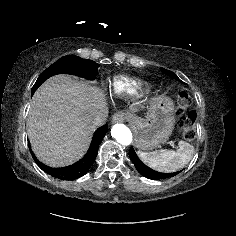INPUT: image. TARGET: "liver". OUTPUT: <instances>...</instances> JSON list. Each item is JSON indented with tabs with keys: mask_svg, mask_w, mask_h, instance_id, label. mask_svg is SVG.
I'll return each mask as SVG.
<instances>
[{
	"mask_svg": "<svg viewBox=\"0 0 236 236\" xmlns=\"http://www.w3.org/2000/svg\"><path fill=\"white\" fill-rule=\"evenodd\" d=\"M106 105L103 92L87 82L67 75L49 78L33 95L27 117L35 155L51 167L79 160L95 131L92 120Z\"/></svg>",
	"mask_w": 236,
	"mask_h": 236,
	"instance_id": "1",
	"label": "liver"
}]
</instances>
